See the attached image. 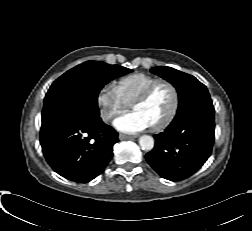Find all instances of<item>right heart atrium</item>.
<instances>
[{
    "instance_id": "right-heart-atrium-1",
    "label": "right heart atrium",
    "mask_w": 252,
    "mask_h": 231,
    "mask_svg": "<svg viewBox=\"0 0 252 231\" xmlns=\"http://www.w3.org/2000/svg\"><path fill=\"white\" fill-rule=\"evenodd\" d=\"M96 100L100 117L105 122H110L115 116L125 112L130 106L120 95L117 86L112 83L105 84L100 89Z\"/></svg>"
}]
</instances>
